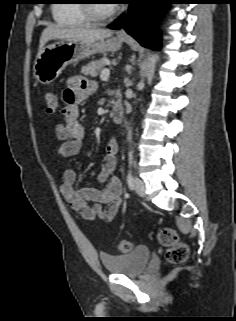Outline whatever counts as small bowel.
<instances>
[{
    "instance_id": "obj_1",
    "label": "small bowel",
    "mask_w": 236,
    "mask_h": 321,
    "mask_svg": "<svg viewBox=\"0 0 236 321\" xmlns=\"http://www.w3.org/2000/svg\"><path fill=\"white\" fill-rule=\"evenodd\" d=\"M95 90V83L84 77L74 76L67 80V87L62 93L65 103L63 121L54 126V135L62 142L56 150L58 156L70 157L80 152L85 135L84 126L80 122V105ZM117 155L118 141L112 135L97 175V182L104 184L101 189L91 184L76 187L78 174L74 169H67L63 174L61 194L70 207L86 220L109 222L121 206L123 189L116 176Z\"/></svg>"
}]
</instances>
